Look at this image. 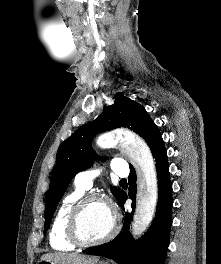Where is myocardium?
<instances>
[{
  "label": "myocardium",
  "mask_w": 221,
  "mask_h": 264,
  "mask_svg": "<svg viewBox=\"0 0 221 264\" xmlns=\"http://www.w3.org/2000/svg\"><path fill=\"white\" fill-rule=\"evenodd\" d=\"M90 202H100L108 206L112 213V225L109 232L98 240H85L80 234V217L85 206ZM119 229V217L112 206V204L106 198L96 194H86L78 199L71 207L67 222H66V234L71 243L79 247H93L98 246L110 241L118 232Z\"/></svg>",
  "instance_id": "myocardium-1"
}]
</instances>
